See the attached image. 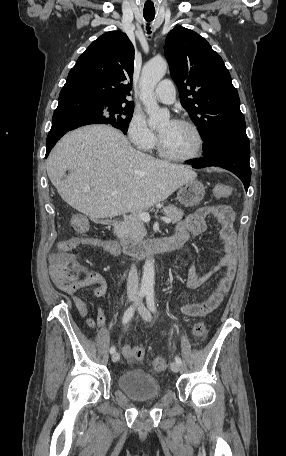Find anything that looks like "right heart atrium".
I'll use <instances>...</instances> for the list:
<instances>
[{"label":"right heart atrium","mask_w":286,"mask_h":456,"mask_svg":"<svg viewBox=\"0 0 286 456\" xmlns=\"http://www.w3.org/2000/svg\"><path fill=\"white\" fill-rule=\"evenodd\" d=\"M127 135L130 142L137 148L148 150L156 142V135L149 127L145 115L134 111L127 125Z\"/></svg>","instance_id":"1"}]
</instances>
